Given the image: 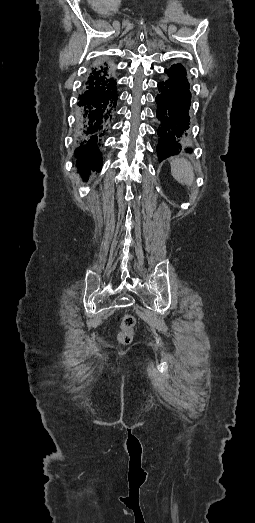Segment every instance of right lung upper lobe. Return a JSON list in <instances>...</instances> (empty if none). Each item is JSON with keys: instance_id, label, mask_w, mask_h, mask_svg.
I'll return each mask as SVG.
<instances>
[{"instance_id": "obj_1", "label": "right lung upper lobe", "mask_w": 255, "mask_h": 523, "mask_svg": "<svg viewBox=\"0 0 255 523\" xmlns=\"http://www.w3.org/2000/svg\"><path fill=\"white\" fill-rule=\"evenodd\" d=\"M93 96L100 99L98 108L93 109L90 107L87 112H82L79 109V146L75 150V157L77 158L76 166H79L82 170H96L102 165V155L99 146L117 108V82L113 75V70L106 62H100L91 68L85 81L84 90L79 96L78 107L80 102H89V99ZM87 122H90L93 127L91 136L84 134V127ZM86 140L93 141V151H84L83 143Z\"/></svg>"}]
</instances>
